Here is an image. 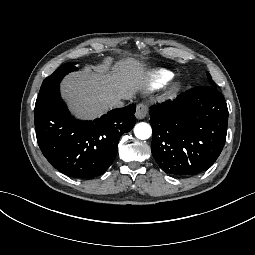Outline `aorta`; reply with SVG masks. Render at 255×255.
Instances as JSON below:
<instances>
[{"mask_svg":"<svg viewBox=\"0 0 255 255\" xmlns=\"http://www.w3.org/2000/svg\"><path fill=\"white\" fill-rule=\"evenodd\" d=\"M152 129L145 122L138 123L134 128V134L138 139L145 140L151 136Z\"/></svg>","mask_w":255,"mask_h":255,"instance_id":"obj_1","label":"aorta"}]
</instances>
